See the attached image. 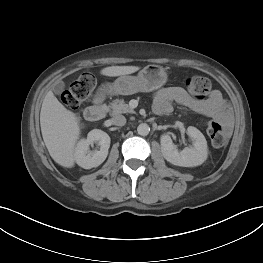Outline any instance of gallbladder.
I'll use <instances>...</instances> for the list:
<instances>
[{"label": "gallbladder", "mask_w": 263, "mask_h": 263, "mask_svg": "<svg viewBox=\"0 0 263 263\" xmlns=\"http://www.w3.org/2000/svg\"><path fill=\"white\" fill-rule=\"evenodd\" d=\"M65 88V84L63 81H57L53 84L52 90L55 94H60Z\"/></svg>", "instance_id": "bac80fb5"}]
</instances>
